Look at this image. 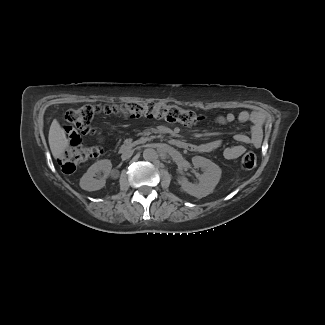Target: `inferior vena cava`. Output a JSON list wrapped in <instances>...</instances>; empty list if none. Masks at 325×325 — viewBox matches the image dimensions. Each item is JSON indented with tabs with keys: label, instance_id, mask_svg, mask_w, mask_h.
Listing matches in <instances>:
<instances>
[{
	"label": "inferior vena cava",
	"instance_id": "1",
	"mask_svg": "<svg viewBox=\"0 0 325 325\" xmlns=\"http://www.w3.org/2000/svg\"><path fill=\"white\" fill-rule=\"evenodd\" d=\"M132 156V152L130 151V152H126V153H123L122 154V159L123 160H126V159H128V158H130Z\"/></svg>",
	"mask_w": 325,
	"mask_h": 325
}]
</instances>
